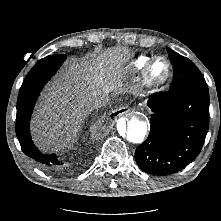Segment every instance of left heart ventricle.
<instances>
[{
	"label": "left heart ventricle",
	"instance_id": "b2bd125f",
	"mask_svg": "<svg viewBox=\"0 0 221 221\" xmlns=\"http://www.w3.org/2000/svg\"><path fill=\"white\" fill-rule=\"evenodd\" d=\"M167 65L164 60H157L152 67V77L155 79H162L166 76Z\"/></svg>",
	"mask_w": 221,
	"mask_h": 221
}]
</instances>
